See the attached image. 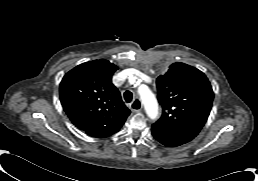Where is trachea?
I'll return each instance as SVG.
<instances>
[{
	"mask_svg": "<svg viewBox=\"0 0 258 181\" xmlns=\"http://www.w3.org/2000/svg\"><path fill=\"white\" fill-rule=\"evenodd\" d=\"M132 93L130 91H126L124 93V99L127 103H130L132 101Z\"/></svg>",
	"mask_w": 258,
	"mask_h": 181,
	"instance_id": "1",
	"label": "trachea"
}]
</instances>
